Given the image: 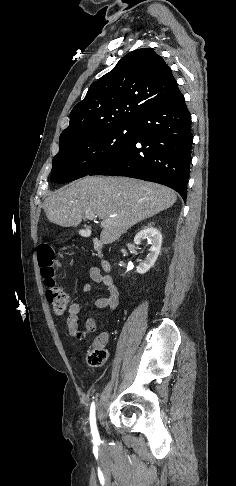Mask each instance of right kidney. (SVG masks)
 Instances as JSON below:
<instances>
[{"label": "right kidney", "mask_w": 236, "mask_h": 486, "mask_svg": "<svg viewBox=\"0 0 236 486\" xmlns=\"http://www.w3.org/2000/svg\"><path fill=\"white\" fill-rule=\"evenodd\" d=\"M147 239L148 243L151 245L149 249V254L147 257L139 264L137 267V273L144 274L154 265L159 256L161 244H162V235L160 231L152 226L146 227L141 230L134 238V243L139 245L142 240Z\"/></svg>", "instance_id": "ca27d5eb"}]
</instances>
